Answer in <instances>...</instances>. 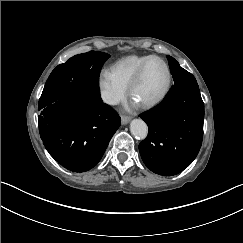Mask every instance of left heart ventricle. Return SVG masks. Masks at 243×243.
I'll use <instances>...</instances> for the list:
<instances>
[{"instance_id": "1", "label": "left heart ventricle", "mask_w": 243, "mask_h": 243, "mask_svg": "<svg viewBox=\"0 0 243 243\" xmlns=\"http://www.w3.org/2000/svg\"><path fill=\"white\" fill-rule=\"evenodd\" d=\"M168 83V72L160 61L150 62L132 92V97L140 105L150 102L159 97L165 90Z\"/></svg>"}]
</instances>
